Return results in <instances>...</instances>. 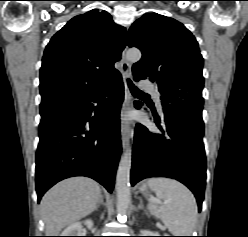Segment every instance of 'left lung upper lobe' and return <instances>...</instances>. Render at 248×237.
<instances>
[{
	"label": "left lung upper lobe",
	"instance_id": "obj_1",
	"mask_svg": "<svg viewBox=\"0 0 248 237\" xmlns=\"http://www.w3.org/2000/svg\"><path fill=\"white\" fill-rule=\"evenodd\" d=\"M127 41L142 52L132 67L134 80L155 81L163 106L182 101L203 104V58L195 37L182 23L145 14L132 24Z\"/></svg>",
	"mask_w": 248,
	"mask_h": 237
}]
</instances>
